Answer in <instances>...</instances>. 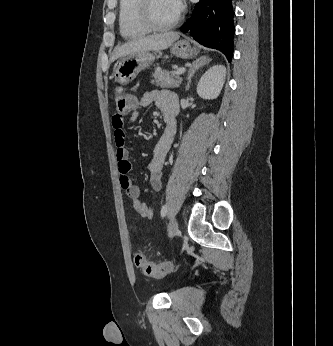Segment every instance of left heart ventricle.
<instances>
[{"mask_svg":"<svg viewBox=\"0 0 333 346\" xmlns=\"http://www.w3.org/2000/svg\"><path fill=\"white\" fill-rule=\"evenodd\" d=\"M177 11L170 0H152V14L159 23L170 21Z\"/></svg>","mask_w":333,"mask_h":346,"instance_id":"1","label":"left heart ventricle"}]
</instances>
